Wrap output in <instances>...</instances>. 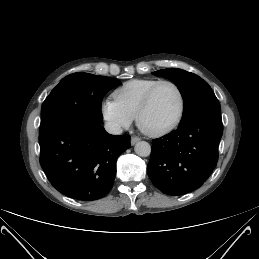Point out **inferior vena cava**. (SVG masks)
I'll return each instance as SVG.
<instances>
[{
    "label": "inferior vena cava",
    "instance_id": "inferior-vena-cava-1",
    "mask_svg": "<svg viewBox=\"0 0 259 259\" xmlns=\"http://www.w3.org/2000/svg\"><path fill=\"white\" fill-rule=\"evenodd\" d=\"M104 128L110 134H121L123 131L121 126L115 122H106Z\"/></svg>",
    "mask_w": 259,
    "mask_h": 259
}]
</instances>
